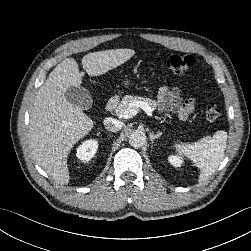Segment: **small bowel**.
<instances>
[{"mask_svg":"<svg viewBox=\"0 0 251 251\" xmlns=\"http://www.w3.org/2000/svg\"><path fill=\"white\" fill-rule=\"evenodd\" d=\"M158 99L163 108L170 112H174L181 120H187L194 110V100H182L180 89L178 87L162 86L158 90Z\"/></svg>","mask_w":251,"mask_h":251,"instance_id":"small-bowel-1","label":"small bowel"}]
</instances>
